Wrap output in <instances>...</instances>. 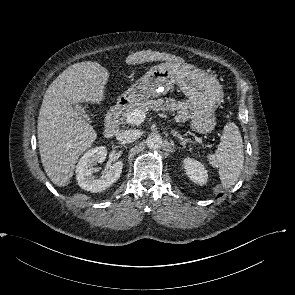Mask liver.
<instances>
[{
  "label": "liver",
  "instance_id": "obj_1",
  "mask_svg": "<svg viewBox=\"0 0 295 295\" xmlns=\"http://www.w3.org/2000/svg\"><path fill=\"white\" fill-rule=\"evenodd\" d=\"M184 60L169 53L144 50L130 54L127 64ZM109 78L97 62L85 61L66 68L48 87L39 111L37 135L41 162L50 180L59 187L70 183L80 155L97 138L93 127L76 110L79 102L100 103Z\"/></svg>",
  "mask_w": 295,
  "mask_h": 295
}]
</instances>
